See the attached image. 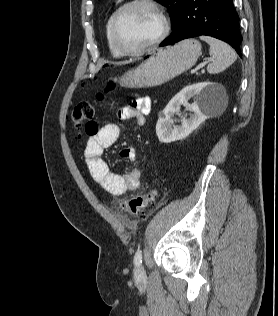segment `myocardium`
<instances>
[{"mask_svg": "<svg viewBox=\"0 0 278 316\" xmlns=\"http://www.w3.org/2000/svg\"><path fill=\"white\" fill-rule=\"evenodd\" d=\"M136 5H145L150 7L158 16L160 21V31L156 38L151 41L149 44L138 48V49H128L125 46L122 45L118 38L117 33V25L119 18L121 15L129 8L136 6ZM111 37L112 41L115 45V47L123 54V55H129V56H138L141 54H144L152 49H154L156 46H158L168 35L170 30V21L164 11V9L154 0H131L128 2H125L122 4L113 14L111 19Z\"/></svg>", "mask_w": 278, "mask_h": 316, "instance_id": "myocardium-1", "label": "myocardium"}]
</instances>
